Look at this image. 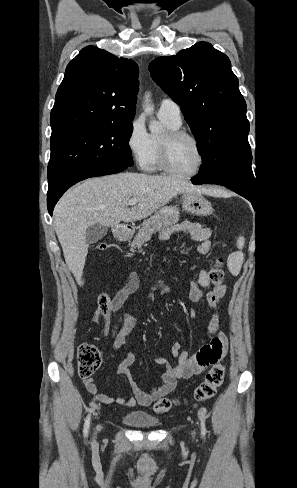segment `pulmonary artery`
<instances>
[{"label":"pulmonary artery","mask_w":297,"mask_h":488,"mask_svg":"<svg viewBox=\"0 0 297 488\" xmlns=\"http://www.w3.org/2000/svg\"><path fill=\"white\" fill-rule=\"evenodd\" d=\"M158 115L161 119L167 120L175 125L182 124L180 106L172 99H163L160 102Z\"/></svg>","instance_id":"1"}]
</instances>
